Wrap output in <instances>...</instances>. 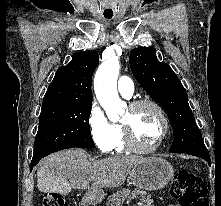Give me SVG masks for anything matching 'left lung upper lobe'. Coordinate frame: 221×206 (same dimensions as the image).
Masks as SVG:
<instances>
[{
  "label": "left lung upper lobe",
  "mask_w": 221,
  "mask_h": 206,
  "mask_svg": "<svg viewBox=\"0 0 221 206\" xmlns=\"http://www.w3.org/2000/svg\"><path fill=\"white\" fill-rule=\"evenodd\" d=\"M129 63L141 87L164 107L169 117L174 134L169 151L208 154L189 107L187 93L169 65L159 62L151 47L133 49Z\"/></svg>",
  "instance_id": "5c2ea615"
}]
</instances>
